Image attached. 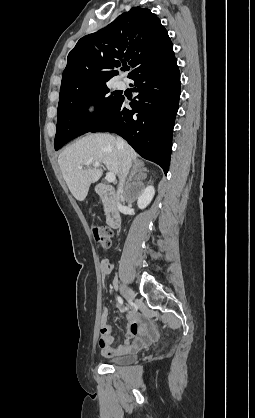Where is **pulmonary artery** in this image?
<instances>
[{
	"instance_id": "e3ab8cb5",
	"label": "pulmonary artery",
	"mask_w": 255,
	"mask_h": 418,
	"mask_svg": "<svg viewBox=\"0 0 255 418\" xmlns=\"http://www.w3.org/2000/svg\"><path fill=\"white\" fill-rule=\"evenodd\" d=\"M117 86L119 87V88H123L124 86H125V81L124 80H119L118 82H117Z\"/></svg>"
}]
</instances>
